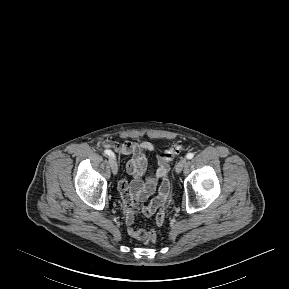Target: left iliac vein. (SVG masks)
Segmentation results:
<instances>
[{"instance_id": "left-iliac-vein-1", "label": "left iliac vein", "mask_w": 289, "mask_h": 289, "mask_svg": "<svg viewBox=\"0 0 289 289\" xmlns=\"http://www.w3.org/2000/svg\"><path fill=\"white\" fill-rule=\"evenodd\" d=\"M186 158H182L175 166L176 173H180L186 164Z\"/></svg>"}]
</instances>
